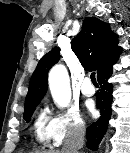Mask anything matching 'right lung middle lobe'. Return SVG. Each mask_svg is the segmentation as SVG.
<instances>
[{
	"mask_svg": "<svg viewBox=\"0 0 130 153\" xmlns=\"http://www.w3.org/2000/svg\"><path fill=\"white\" fill-rule=\"evenodd\" d=\"M37 105H38V103H35V104H32V105L25 107V112H24L23 118L27 123L30 121L31 116H32Z\"/></svg>",
	"mask_w": 130,
	"mask_h": 153,
	"instance_id": "dd1d6c3e",
	"label": "right lung middle lobe"
}]
</instances>
